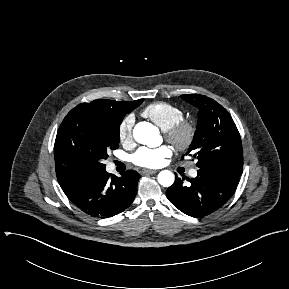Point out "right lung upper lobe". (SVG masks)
<instances>
[{"mask_svg": "<svg viewBox=\"0 0 289 289\" xmlns=\"http://www.w3.org/2000/svg\"><path fill=\"white\" fill-rule=\"evenodd\" d=\"M142 99L136 101H129V102H120V101H113V100H94L90 103H82L76 106L73 111H87V112H94L99 114H119L124 112H131L135 108L138 107ZM59 184L64 191V193H68L72 189L76 188L78 185H69L62 177H58Z\"/></svg>", "mask_w": 289, "mask_h": 289, "instance_id": "obj_1", "label": "right lung upper lobe"}]
</instances>
